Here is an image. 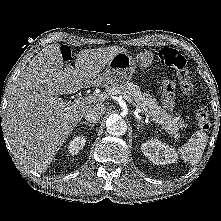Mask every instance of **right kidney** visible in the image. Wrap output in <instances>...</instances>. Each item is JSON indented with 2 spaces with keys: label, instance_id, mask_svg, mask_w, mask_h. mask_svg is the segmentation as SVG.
I'll list each match as a JSON object with an SVG mask.
<instances>
[{
  "label": "right kidney",
  "instance_id": "1",
  "mask_svg": "<svg viewBox=\"0 0 221 221\" xmlns=\"http://www.w3.org/2000/svg\"><path fill=\"white\" fill-rule=\"evenodd\" d=\"M86 139L84 136H76L72 140L69 141L67 145V149L69 154L76 155L80 150L83 149L85 145Z\"/></svg>",
  "mask_w": 221,
  "mask_h": 221
}]
</instances>
